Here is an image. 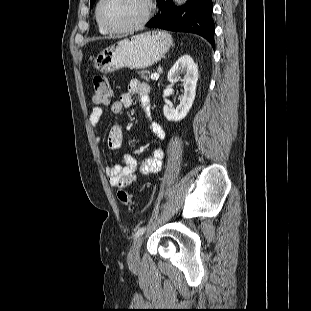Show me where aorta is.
Returning <instances> with one entry per match:
<instances>
[{
  "mask_svg": "<svg viewBox=\"0 0 311 311\" xmlns=\"http://www.w3.org/2000/svg\"><path fill=\"white\" fill-rule=\"evenodd\" d=\"M178 5L183 4L186 0H174Z\"/></svg>",
  "mask_w": 311,
  "mask_h": 311,
  "instance_id": "obj_1",
  "label": "aorta"
}]
</instances>
